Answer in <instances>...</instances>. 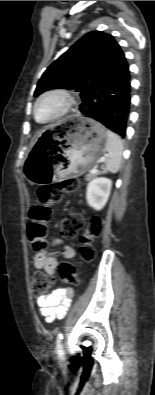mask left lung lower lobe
Listing matches in <instances>:
<instances>
[{
    "label": "left lung lower lobe",
    "instance_id": "1",
    "mask_svg": "<svg viewBox=\"0 0 155 395\" xmlns=\"http://www.w3.org/2000/svg\"><path fill=\"white\" fill-rule=\"evenodd\" d=\"M130 102V72L124 58L103 76L98 87L83 101L79 110L124 138Z\"/></svg>",
    "mask_w": 155,
    "mask_h": 395
}]
</instances>
